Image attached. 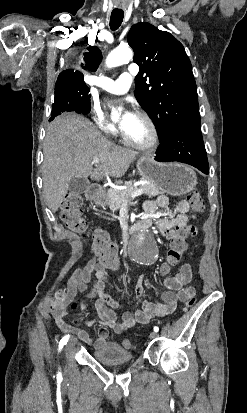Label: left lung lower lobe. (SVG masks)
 <instances>
[{"label":"left lung lower lobe","mask_w":247,"mask_h":413,"mask_svg":"<svg viewBox=\"0 0 247 413\" xmlns=\"http://www.w3.org/2000/svg\"><path fill=\"white\" fill-rule=\"evenodd\" d=\"M159 140L160 146L156 152V161H178L192 165L203 173L209 174L201 129L179 127L168 132Z\"/></svg>","instance_id":"1"}]
</instances>
